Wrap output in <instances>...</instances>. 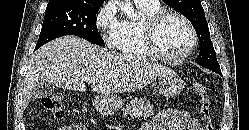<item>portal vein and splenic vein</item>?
<instances>
[{"label":"portal vein and splenic vein","mask_w":249,"mask_h":130,"mask_svg":"<svg viewBox=\"0 0 249 130\" xmlns=\"http://www.w3.org/2000/svg\"><path fill=\"white\" fill-rule=\"evenodd\" d=\"M88 82H90V83H95L97 80L96 79H86Z\"/></svg>","instance_id":"obj_1"}]
</instances>
